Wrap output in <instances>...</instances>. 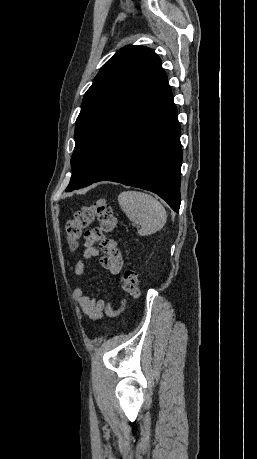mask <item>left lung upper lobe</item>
Segmentation results:
<instances>
[{
  "mask_svg": "<svg viewBox=\"0 0 257 459\" xmlns=\"http://www.w3.org/2000/svg\"><path fill=\"white\" fill-rule=\"evenodd\" d=\"M160 69V58L141 45L123 47L103 65L84 95L76 121L73 172L67 192L94 181L106 158L113 128Z\"/></svg>",
  "mask_w": 257,
  "mask_h": 459,
  "instance_id": "5c2ea615",
  "label": "left lung upper lobe"
}]
</instances>
